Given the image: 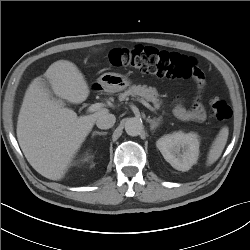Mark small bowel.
I'll list each match as a JSON object with an SVG mask.
<instances>
[{
    "instance_id": "c3829d8e",
    "label": "small bowel",
    "mask_w": 250,
    "mask_h": 250,
    "mask_svg": "<svg viewBox=\"0 0 250 250\" xmlns=\"http://www.w3.org/2000/svg\"><path fill=\"white\" fill-rule=\"evenodd\" d=\"M174 114L181 120L203 122L206 119V112L201 103L197 102L192 109L185 108L181 103L174 105Z\"/></svg>"
}]
</instances>
